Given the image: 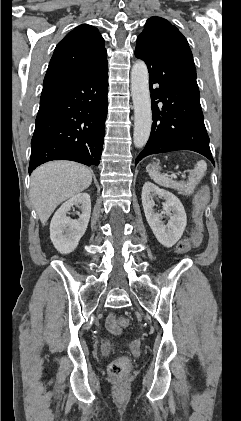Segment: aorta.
Masks as SVG:
<instances>
[{
	"label": "aorta",
	"instance_id": "obj_1",
	"mask_svg": "<svg viewBox=\"0 0 241 421\" xmlns=\"http://www.w3.org/2000/svg\"><path fill=\"white\" fill-rule=\"evenodd\" d=\"M131 94L134 106V145L142 148L150 136L152 112L148 69L141 60L136 61L131 70Z\"/></svg>",
	"mask_w": 241,
	"mask_h": 421
}]
</instances>
